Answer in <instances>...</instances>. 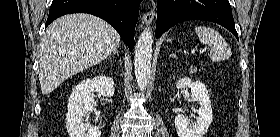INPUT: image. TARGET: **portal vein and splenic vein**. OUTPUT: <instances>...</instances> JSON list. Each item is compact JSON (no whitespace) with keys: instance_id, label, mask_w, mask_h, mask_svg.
<instances>
[{"instance_id":"portal-vein-and-splenic-vein-1","label":"portal vein and splenic vein","mask_w":280,"mask_h":137,"mask_svg":"<svg viewBox=\"0 0 280 137\" xmlns=\"http://www.w3.org/2000/svg\"><path fill=\"white\" fill-rule=\"evenodd\" d=\"M192 53H195V50H192ZM200 53H201V51H200Z\"/></svg>"}]
</instances>
